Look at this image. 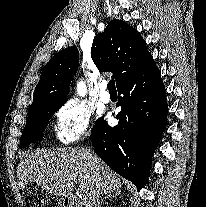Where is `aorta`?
<instances>
[{"label":"aorta","mask_w":206,"mask_h":207,"mask_svg":"<svg viewBox=\"0 0 206 207\" xmlns=\"http://www.w3.org/2000/svg\"><path fill=\"white\" fill-rule=\"evenodd\" d=\"M77 93L80 96H84L85 95V93H86V87H85V85H84L83 82L78 83V85H77Z\"/></svg>","instance_id":"obj_1"}]
</instances>
